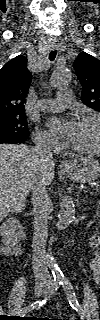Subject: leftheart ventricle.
<instances>
[{
	"label": "left heart ventricle",
	"mask_w": 100,
	"mask_h": 320,
	"mask_svg": "<svg viewBox=\"0 0 100 320\" xmlns=\"http://www.w3.org/2000/svg\"><path fill=\"white\" fill-rule=\"evenodd\" d=\"M97 137L98 126L94 121L79 122L70 143L78 148L89 149L95 147Z\"/></svg>",
	"instance_id": "b2bd125f"
}]
</instances>
